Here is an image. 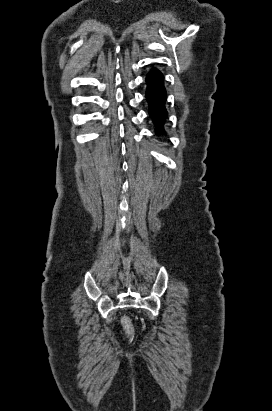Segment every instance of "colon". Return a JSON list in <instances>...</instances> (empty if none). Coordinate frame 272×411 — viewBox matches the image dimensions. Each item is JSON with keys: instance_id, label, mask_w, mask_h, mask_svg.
Wrapping results in <instances>:
<instances>
[{"instance_id": "5ec220e1", "label": "colon", "mask_w": 272, "mask_h": 411, "mask_svg": "<svg viewBox=\"0 0 272 411\" xmlns=\"http://www.w3.org/2000/svg\"><path fill=\"white\" fill-rule=\"evenodd\" d=\"M124 332L128 338H133L135 335V329L132 321L129 317H123L121 320Z\"/></svg>"}]
</instances>
